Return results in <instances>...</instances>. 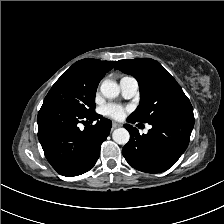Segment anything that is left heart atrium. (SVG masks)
I'll return each mask as SVG.
<instances>
[{
  "instance_id": "left-heart-atrium-1",
  "label": "left heart atrium",
  "mask_w": 224,
  "mask_h": 224,
  "mask_svg": "<svg viewBox=\"0 0 224 224\" xmlns=\"http://www.w3.org/2000/svg\"><path fill=\"white\" fill-rule=\"evenodd\" d=\"M126 108L118 104H107L103 108V113L113 119L120 120L125 116Z\"/></svg>"
}]
</instances>
